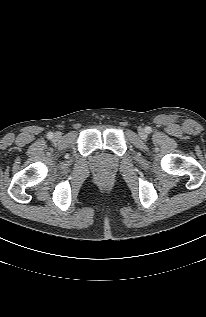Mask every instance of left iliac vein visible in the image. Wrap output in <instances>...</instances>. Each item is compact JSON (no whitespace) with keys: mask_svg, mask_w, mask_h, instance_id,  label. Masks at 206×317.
Masks as SVG:
<instances>
[{"mask_svg":"<svg viewBox=\"0 0 206 317\" xmlns=\"http://www.w3.org/2000/svg\"><path fill=\"white\" fill-rule=\"evenodd\" d=\"M139 135H140L141 137H145V136H146L145 130H144V129H140Z\"/></svg>","mask_w":206,"mask_h":317,"instance_id":"1","label":"left iliac vein"}]
</instances>
